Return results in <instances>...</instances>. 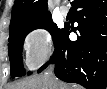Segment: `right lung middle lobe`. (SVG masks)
Listing matches in <instances>:
<instances>
[{"mask_svg":"<svg viewBox=\"0 0 107 89\" xmlns=\"http://www.w3.org/2000/svg\"><path fill=\"white\" fill-rule=\"evenodd\" d=\"M46 29L50 32L53 37L54 45H56L57 40L63 31L59 29L56 24L52 21L51 17L31 21L17 27L10 28L9 33V58L11 64V76H23L25 71L22 63V46L26 35L34 29Z\"/></svg>","mask_w":107,"mask_h":89,"instance_id":"dd1d6c3e","label":"right lung middle lobe"}]
</instances>
